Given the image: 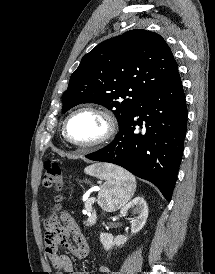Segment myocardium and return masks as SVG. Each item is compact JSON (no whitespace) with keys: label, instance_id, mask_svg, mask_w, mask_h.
<instances>
[{"label":"myocardium","instance_id":"myocardium-1","mask_svg":"<svg viewBox=\"0 0 215 274\" xmlns=\"http://www.w3.org/2000/svg\"><path fill=\"white\" fill-rule=\"evenodd\" d=\"M81 112H92V113L100 116L105 123V132L103 133V135L92 142L78 143V142L73 141L69 137L68 124H69L70 120L76 114L81 113ZM117 131H118V122H117V119L115 118V116L113 115V113L103 107L94 106V105H85V106H81V107L73 110L71 113L68 114V116L64 120L63 129H62L63 136H64L65 140L69 144H71L75 147H78V148H82V149H93V148H97V147H100V146L108 143L115 137V135L117 134Z\"/></svg>","mask_w":215,"mask_h":274}]
</instances>
